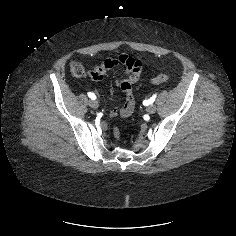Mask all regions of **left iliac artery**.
<instances>
[{
  "label": "left iliac artery",
  "mask_w": 236,
  "mask_h": 236,
  "mask_svg": "<svg viewBox=\"0 0 236 236\" xmlns=\"http://www.w3.org/2000/svg\"><path fill=\"white\" fill-rule=\"evenodd\" d=\"M155 98H156V94L153 95L149 100H144L143 103H144L145 105L152 104V103L155 101Z\"/></svg>",
  "instance_id": "44dca946"
}]
</instances>
